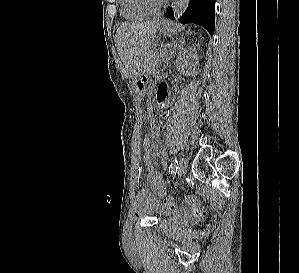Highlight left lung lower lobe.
Returning a JSON list of instances; mask_svg holds the SVG:
<instances>
[{
	"label": "left lung lower lobe",
	"instance_id": "1",
	"mask_svg": "<svg viewBox=\"0 0 299 273\" xmlns=\"http://www.w3.org/2000/svg\"><path fill=\"white\" fill-rule=\"evenodd\" d=\"M166 16L174 19L172 8L166 12ZM181 23H195L203 26L210 35L215 29V0H190L182 17Z\"/></svg>",
	"mask_w": 299,
	"mask_h": 273
}]
</instances>
